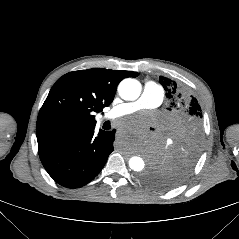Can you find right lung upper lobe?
Wrapping results in <instances>:
<instances>
[{
    "label": "right lung upper lobe",
    "instance_id": "cb5924a9",
    "mask_svg": "<svg viewBox=\"0 0 239 239\" xmlns=\"http://www.w3.org/2000/svg\"><path fill=\"white\" fill-rule=\"evenodd\" d=\"M137 76V72L103 68L63 75L51 88L38 114V148L95 128L94 112L111 104L121 80Z\"/></svg>",
    "mask_w": 239,
    "mask_h": 239
}]
</instances>
